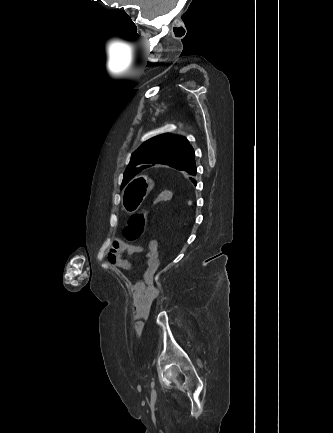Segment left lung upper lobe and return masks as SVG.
<instances>
[{
  "mask_svg": "<svg viewBox=\"0 0 333 433\" xmlns=\"http://www.w3.org/2000/svg\"><path fill=\"white\" fill-rule=\"evenodd\" d=\"M195 162V153L182 136L163 134L143 143L133 154L124 173L122 187L149 164L184 170Z\"/></svg>",
  "mask_w": 333,
  "mask_h": 433,
  "instance_id": "obj_1",
  "label": "left lung upper lobe"
}]
</instances>
